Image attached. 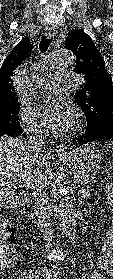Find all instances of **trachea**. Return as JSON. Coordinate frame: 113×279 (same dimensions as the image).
<instances>
[{
  "mask_svg": "<svg viewBox=\"0 0 113 279\" xmlns=\"http://www.w3.org/2000/svg\"><path fill=\"white\" fill-rule=\"evenodd\" d=\"M53 38H47L46 36L42 37L40 43H39V48L41 53H45L52 42Z\"/></svg>",
  "mask_w": 113,
  "mask_h": 279,
  "instance_id": "obj_1",
  "label": "trachea"
}]
</instances>
